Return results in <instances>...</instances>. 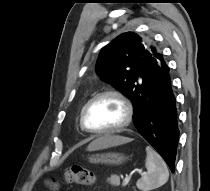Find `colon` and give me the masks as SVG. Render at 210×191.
Wrapping results in <instances>:
<instances>
[{"mask_svg": "<svg viewBox=\"0 0 210 191\" xmlns=\"http://www.w3.org/2000/svg\"><path fill=\"white\" fill-rule=\"evenodd\" d=\"M64 181L69 184L91 185L94 183V173L89 168L73 165L65 171ZM46 185L52 191L57 190L59 187L56 180H47Z\"/></svg>", "mask_w": 210, "mask_h": 191, "instance_id": "5ec220e1", "label": "colon"}]
</instances>
